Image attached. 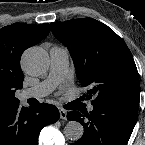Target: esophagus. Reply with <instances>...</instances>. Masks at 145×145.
Here are the masks:
<instances>
[{
    "mask_svg": "<svg viewBox=\"0 0 145 145\" xmlns=\"http://www.w3.org/2000/svg\"><path fill=\"white\" fill-rule=\"evenodd\" d=\"M60 118L63 120L67 119V112L64 109H59Z\"/></svg>",
    "mask_w": 145,
    "mask_h": 145,
    "instance_id": "obj_1",
    "label": "esophagus"
}]
</instances>
